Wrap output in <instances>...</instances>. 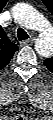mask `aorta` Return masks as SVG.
I'll return each instance as SVG.
<instances>
[{
  "mask_svg": "<svg viewBox=\"0 0 53 120\" xmlns=\"http://www.w3.org/2000/svg\"><path fill=\"white\" fill-rule=\"evenodd\" d=\"M15 13L21 18L25 26L42 31L36 43V50L38 53L44 54V48L51 46V35L46 29L48 22L39 12L30 6L16 7Z\"/></svg>",
  "mask_w": 53,
  "mask_h": 120,
  "instance_id": "aorta-1",
  "label": "aorta"
}]
</instances>
